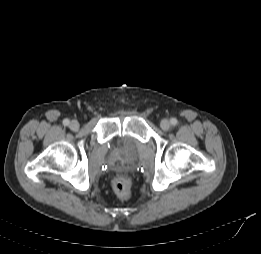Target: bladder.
<instances>
[{"label":"bladder","instance_id":"bladder-1","mask_svg":"<svg viewBox=\"0 0 261 254\" xmlns=\"http://www.w3.org/2000/svg\"><path fill=\"white\" fill-rule=\"evenodd\" d=\"M114 154L117 161L129 162L137 155V147L129 139L121 140L114 148Z\"/></svg>","mask_w":261,"mask_h":254}]
</instances>
